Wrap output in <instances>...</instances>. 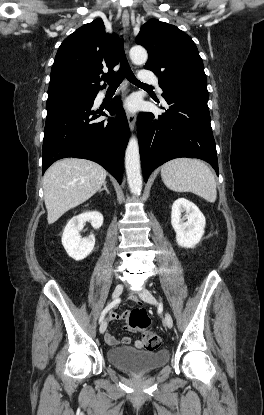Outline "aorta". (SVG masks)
<instances>
[{
  "instance_id": "1",
  "label": "aorta",
  "mask_w": 264,
  "mask_h": 415,
  "mask_svg": "<svg viewBox=\"0 0 264 415\" xmlns=\"http://www.w3.org/2000/svg\"><path fill=\"white\" fill-rule=\"evenodd\" d=\"M130 58L136 64H142L147 61V51L141 46H134L130 49ZM125 168L127 182L130 191L134 195H140L142 190V176L140 168V155L137 139L133 136L130 138L125 153Z\"/></svg>"
}]
</instances>
